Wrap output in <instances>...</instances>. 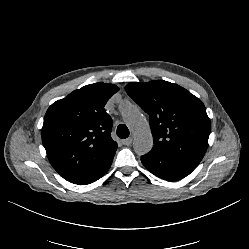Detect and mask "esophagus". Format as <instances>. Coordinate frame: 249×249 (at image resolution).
I'll return each instance as SVG.
<instances>
[{
    "label": "esophagus",
    "instance_id": "obj_1",
    "mask_svg": "<svg viewBox=\"0 0 249 249\" xmlns=\"http://www.w3.org/2000/svg\"><path fill=\"white\" fill-rule=\"evenodd\" d=\"M122 144L125 145V146L131 145V144H132V138L129 137V138H127V139H124V140L122 141Z\"/></svg>",
    "mask_w": 249,
    "mask_h": 249
}]
</instances>
